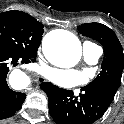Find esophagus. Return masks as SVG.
<instances>
[{
	"mask_svg": "<svg viewBox=\"0 0 124 124\" xmlns=\"http://www.w3.org/2000/svg\"><path fill=\"white\" fill-rule=\"evenodd\" d=\"M36 80H37L38 82H41V81H44L45 78L42 77V76H37Z\"/></svg>",
	"mask_w": 124,
	"mask_h": 124,
	"instance_id": "1",
	"label": "esophagus"
}]
</instances>
